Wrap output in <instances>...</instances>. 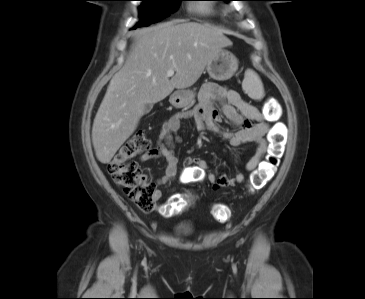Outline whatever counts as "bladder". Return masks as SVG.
Segmentation results:
<instances>
[{
  "instance_id": "1",
  "label": "bladder",
  "mask_w": 365,
  "mask_h": 299,
  "mask_svg": "<svg viewBox=\"0 0 365 299\" xmlns=\"http://www.w3.org/2000/svg\"><path fill=\"white\" fill-rule=\"evenodd\" d=\"M193 230V224L190 222H182L175 227L178 234H187Z\"/></svg>"
}]
</instances>
